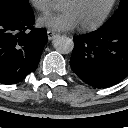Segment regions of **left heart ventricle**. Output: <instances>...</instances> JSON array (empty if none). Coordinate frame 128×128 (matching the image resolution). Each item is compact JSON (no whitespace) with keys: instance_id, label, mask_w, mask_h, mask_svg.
Instances as JSON below:
<instances>
[{"instance_id":"1","label":"left heart ventricle","mask_w":128,"mask_h":128,"mask_svg":"<svg viewBox=\"0 0 128 128\" xmlns=\"http://www.w3.org/2000/svg\"><path fill=\"white\" fill-rule=\"evenodd\" d=\"M111 0H63L61 8L70 11L78 25L96 21L106 10Z\"/></svg>"}]
</instances>
